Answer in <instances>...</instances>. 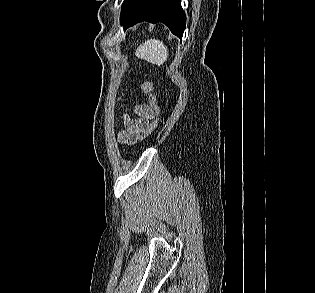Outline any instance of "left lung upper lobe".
Listing matches in <instances>:
<instances>
[{"instance_id":"5c2ea615","label":"left lung upper lobe","mask_w":315,"mask_h":293,"mask_svg":"<svg viewBox=\"0 0 315 293\" xmlns=\"http://www.w3.org/2000/svg\"><path fill=\"white\" fill-rule=\"evenodd\" d=\"M140 0H124L121 11V19L125 17Z\"/></svg>"}]
</instances>
